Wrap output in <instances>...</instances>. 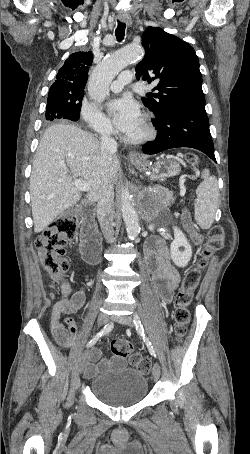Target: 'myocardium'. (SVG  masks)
Listing matches in <instances>:
<instances>
[{
    "mask_svg": "<svg viewBox=\"0 0 250 454\" xmlns=\"http://www.w3.org/2000/svg\"><path fill=\"white\" fill-rule=\"evenodd\" d=\"M141 122L143 126V133L137 137H129L127 135H124L123 139L125 142L133 145H140L150 141L155 137V129L146 115L142 116Z\"/></svg>",
    "mask_w": 250,
    "mask_h": 454,
    "instance_id": "f54148a6",
    "label": "myocardium"
}]
</instances>
